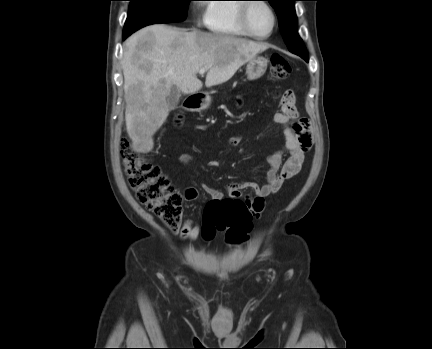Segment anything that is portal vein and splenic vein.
I'll list each match as a JSON object with an SVG mask.
<instances>
[{
    "mask_svg": "<svg viewBox=\"0 0 432 349\" xmlns=\"http://www.w3.org/2000/svg\"><path fill=\"white\" fill-rule=\"evenodd\" d=\"M205 72H206L205 69H200V70H199V74H200V75H204Z\"/></svg>",
    "mask_w": 432,
    "mask_h": 349,
    "instance_id": "portal-vein-and-splenic-vein-1",
    "label": "portal vein and splenic vein"
}]
</instances>
